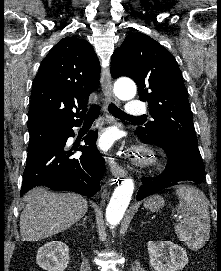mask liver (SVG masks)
I'll return each instance as SVG.
<instances>
[{"instance_id": "6515ba94", "label": "liver", "mask_w": 221, "mask_h": 271, "mask_svg": "<svg viewBox=\"0 0 221 271\" xmlns=\"http://www.w3.org/2000/svg\"><path fill=\"white\" fill-rule=\"evenodd\" d=\"M20 215L21 241H39L56 235L79 221L88 203L78 193H52L48 187L27 191Z\"/></svg>"}]
</instances>
